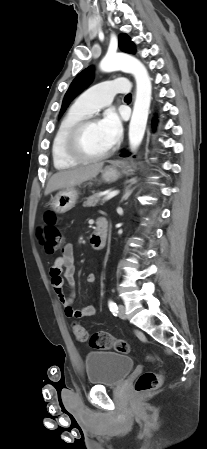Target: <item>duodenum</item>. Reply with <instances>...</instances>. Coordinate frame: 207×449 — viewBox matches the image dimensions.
I'll use <instances>...</instances> for the list:
<instances>
[{"instance_id": "410a0bca", "label": "duodenum", "mask_w": 207, "mask_h": 449, "mask_svg": "<svg viewBox=\"0 0 207 449\" xmlns=\"http://www.w3.org/2000/svg\"><path fill=\"white\" fill-rule=\"evenodd\" d=\"M108 235V221L104 218H99L96 222V228L90 237L92 247L99 251L102 250L107 241Z\"/></svg>"}]
</instances>
